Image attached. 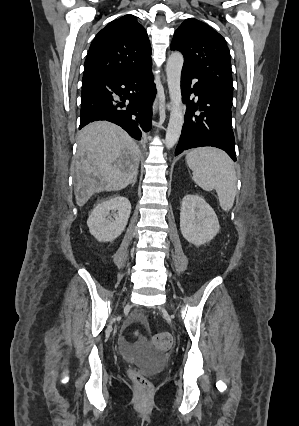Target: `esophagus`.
<instances>
[{"label": "esophagus", "mask_w": 299, "mask_h": 426, "mask_svg": "<svg viewBox=\"0 0 299 426\" xmlns=\"http://www.w3.org/2000/svg\"><path fill=\"white\" fill-rule=\"evenodd\" d=\"M158 106H159V102H158V99L156 98L155 101H154V103H153V111L154 112L157 111Z\"/></svg>", "instance_id": "1"}]
</instances>
